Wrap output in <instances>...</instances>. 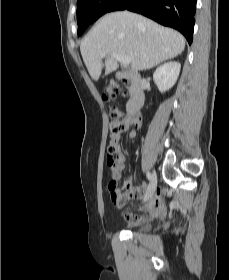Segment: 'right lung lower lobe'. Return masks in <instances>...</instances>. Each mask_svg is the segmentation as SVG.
<instances>
[{
    "mask_svg": "<svg viewBox=\"0 0 229 280\" xmlns=\"http://www.w3.org/2000/svg\"><path fill=\"white\" fill-rule=\"evenodd\" d=\"M125 9L177 29L192 43L196 0H117L109 12Z\"/></svg>",
    "mask_w": 229,
    "mask_h": 280,
    "instance_id": "obj_1",
    "label": "right lung lower lobe"
}]
</instances>
